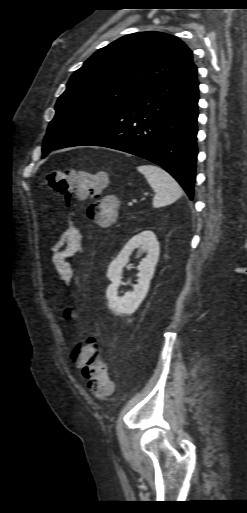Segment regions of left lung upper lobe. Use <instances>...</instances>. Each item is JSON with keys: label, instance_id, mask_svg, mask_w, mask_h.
I'll return each mask as SVG.
<instances>
[{"label": "left lung upper lobe", "instance_id": "5c2ea615", "mask_svg": "<svg viewBox=\"0 0 247 513\" xmlns=\"http://www.w3.org/2000/svg\"><path fill=\"white\" fill-rule=\"evenodd\" d=\"M177 37L140 32L95 52L59 97L43 143V157L99 120L168 81L192 62Z\"/></svg>", "mask_w": 247, "mask_h": 513}]
</instances>
